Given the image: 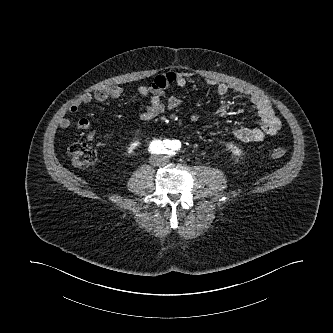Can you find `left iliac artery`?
<instances>
[{
  "label": "left iliac artery",
  "instance_id": "44dca946",
  "mask_svg": "<svg viewBox=\"0 0 333 333\" xmlns=\"http://www.w3.org/2000/svg\"><path fill=\"white\" fill-rule=\"evenodd\" d=\"M173 148H174V149H173ZM177 148H178V146H176V145H173V146H172V149H173V150H176ZM172 153H174V152H172Z\"/></svg>",
  "mask_w": 333,
  "mask_h": 333
}]
</instances>
